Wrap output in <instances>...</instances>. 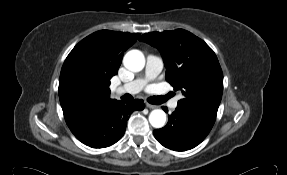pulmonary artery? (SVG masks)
Returning <instances> with one entry per match:
<instances>
[{
  "instance_id": "obj_1",
  "label": "pulmonary artery",
  "mask_w": 287,
  "mask_h": 175,
  "mask_svg": "<svg viewBox=\"0 0 287 175\" xmlns=\"http://www.w3.org/2000/svg\"><path fill=\"white\" fill-rule=\"evenodd\" d=\"M163 66L164 63L161 57L153 54L147 55L144 75L129 83L118 86L115 90L116 93L117 94L127 93L131 95L139 93L145 88V86L149 81L153 80L160 74V72L163 69ZM177 104H178V98L174 99L171 102L170 106L172 109H175L177 107Z\"/></svg>"
}]
</instances>
